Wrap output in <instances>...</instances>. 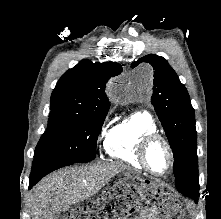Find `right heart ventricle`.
<instances>
[{
  "instance_id": "1",
  "label": "right heart ventricle",
  "mask_w": 221,
  "mask_h": 219,
  "mask_svg": "<svg viewBox=\"0 0 221 219\" xmlns=\"http://www.w3.org/2000/svg\"><path fill=\"white\" fill-rule=\"evenodd\" d=\"M157 133L153 117L145 111H135L115 122L106 134L104 150L116 161L144 170L137 157V145L146 134Z\"/></svg>"
}]
</instances>
